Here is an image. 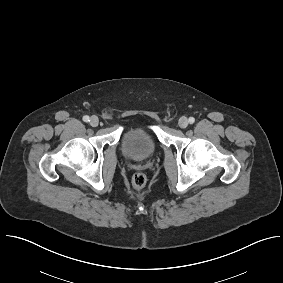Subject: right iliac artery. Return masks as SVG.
Wrapping results in <instances>:
<instances>
[{"mask_svg": "<svg viewBox=\"0 0 283 283\" xmlns=\"http://www.w3.org/2000/svg\"><path fill=\"white\" fill-rule=\"evenodd\" d=\"M83 121H84V122H88V121H90V120H89V116H87V115H86V116H84V117H83Z\"/></svg>", "mask_w": 283, "mask_h": 283, "instance_id": "1", "label": "right iliac artery"}]
</instances>
